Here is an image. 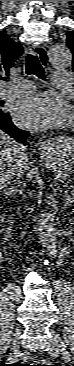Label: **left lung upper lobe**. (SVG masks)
<instances>
[{
  "label": "left lung upper lobe",
  "mask_w": 74,
  "mask_h": 366,
  "mask_svg": "<svg viewBox=\"0 0 74 366\" xmlns=\"http://www.w3.org/2000/svg\"><path fill=\"white\" fill-rule=\"evenodd\" d=\"M66 37V44L73 54L72 69L74 72V32H67Z\"/></svg>",
  "instance_id": "1"
}]
</instances>
